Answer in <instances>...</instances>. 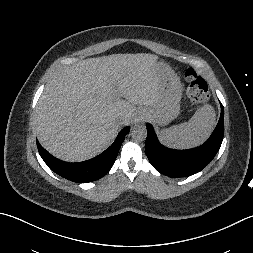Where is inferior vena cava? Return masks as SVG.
Instances as JSON below:
<instances>
[{"instance_id":"1","label":"inferior vena cava","mask_w":253,"mask_h":253,"mask_svg":"<svg viewBox=\"0 0 253 253\" xmlns=\"http://www.w3.org/2000/svg\"><path fill=\"white\" fill-rule=\"evenodd\" d=\"M127 124V119L125 117L116 116L114 118V128L116 130H121Z\"/></svg>"}]
</instances>
